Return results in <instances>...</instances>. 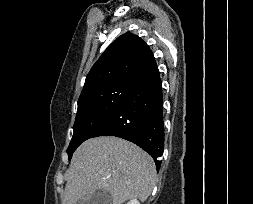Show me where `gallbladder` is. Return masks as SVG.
<instances>
[{"label":"gallbladder","mask_w":253,"mask_h":204,"mask_svg":"<svg viewBox=\"0 0 253 204\" xmlns=\"http://www.w3.org/2000/svg\"><path fill=\"white\" fill-rule=\"evenodd\" d=\"M76 204H113V199L107 190L98 189L88 199L82 198Z\"/></svg>","instance_id":"obj_1"}]
</instances>
